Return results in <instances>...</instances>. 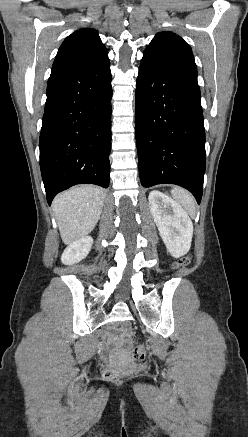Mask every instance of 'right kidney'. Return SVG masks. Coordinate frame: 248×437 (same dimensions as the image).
<instances>
[{
	"mask_svg": "<svg viewBox=\"0 0 248 437\" xmlns=\"http://www.w3.org/2000/svg\"><path fill=\"white\" fill-rule=\"evenodd\" d=\"M93 238L85 236L70 244L63 252L61 261L65 265H72L84 259L91 250Z\"/></svg>",
	"mask_w": 248,
	"mask_h": 437,
	"instance_id": "obj_1",
	"label": "right kidney"
}]
</instances>
